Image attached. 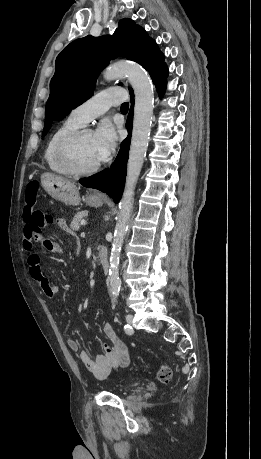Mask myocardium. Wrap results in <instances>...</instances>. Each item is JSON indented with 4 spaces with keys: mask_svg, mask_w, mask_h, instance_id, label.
<instances>
[{
    "mask_svg": "<svg viewBox=\"0 0 261 459\" xmlns=\"http://www.w3.org/2000/svg\"><path fill=\"white\" fill-rule=\"evenodd\" d=\"M91 132L90 129L80 127L62 138L57 148V160L60 166L70 175L75 176H88L96 173L101 164L91 168H81L77 165L75 160V149L80 138L85 134Z\"/></svg>",
    "mask_w": 261,
    "mask_h": 459,
    "instance_id": "myocardium-1",
    "label": "myocardium"
}]
</instances>
